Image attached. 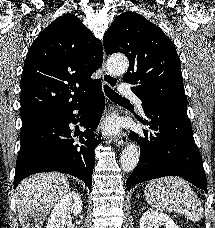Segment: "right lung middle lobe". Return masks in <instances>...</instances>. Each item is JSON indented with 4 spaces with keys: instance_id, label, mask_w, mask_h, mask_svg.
<instances>
[{
    "instance_id": "obj_1",
    "label": "right lung middle lobe",
    "mask_w": 215,
    "mask_h": 228,
    "mask_svg": "<svg viewBox=\"0 0 215 228\" xmlns=\"http://www.w3.org/2000/svg\"><path fill=\"white\" fill-rule=\"evenodd\" d=\"M57 116H51V117H46V118H42V119H38V120H34V121H31V122H27V123H22V128H21V133H25L33 128H35L36 126L46 122V121H49L51 119H54L56 118Z\"/></svg>"
}]
</instances>
